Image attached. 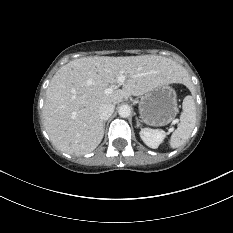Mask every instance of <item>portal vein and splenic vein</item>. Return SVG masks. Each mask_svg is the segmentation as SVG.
<instances>
[{
    "label": "portal vein and splenic vein",
    "instance_id": "portal-vein-and-splenic-vein-1",
    "mask_svg": "<svg viewBox=\"0 0 233 233\" xmlns=\"http://www.w3.org/2000/svg\"><path fill=\"white\" fill-rule=\"evenodd\" d=\"M125 80H126L125 75L120 74V75L118 76V79H117L118 85L124 84ZM116 88H117V86H111V87L106 88V89L104 90V92H105V94H111V93L114 91V89H116Z\"/></svg>",
    "mask_w": 233,
    "mask_h": 233
}]
</instances>
